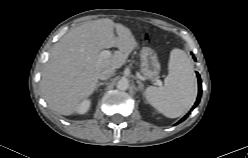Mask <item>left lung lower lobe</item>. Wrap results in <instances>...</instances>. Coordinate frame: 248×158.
<instances>
[{
  "label": "left lung lower lobe",
  "mask_w": 248,
  "mask_h": 158,
  "mask_svg": "<svg viewBox=\"0 0 248 158\" xmlns=\"http://www.w3.org/2000/svg\"><path fill=\"white\" fill-rule=\"evenodd\" d=\"M197 76H198V87H199L198 98H197V100H196L194 106L192 107V109H194V108L198 105V103H199V101H200V98H201V79H200V76H199L198 73H197ZM187 116H188V115L184 116L178 123H180V122H182L183 120H185V119L187 118ZM178 123H177V124H178Z\"/></svg>",
  "instance_id": "1"
}]
</instances>
